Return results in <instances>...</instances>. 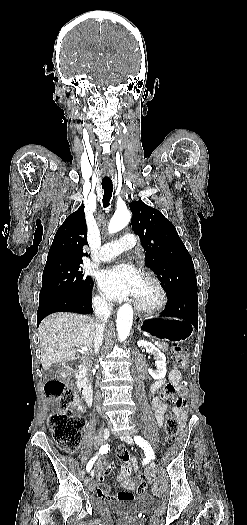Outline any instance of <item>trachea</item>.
Listing matches in <instances>:
<instances>
[{"mask_svg": "<svg viewBox=\"0 0 247 525\" xmlns=\"http://www.w3.org/2000/svg\"><path fill=\"white\" fill-rule=\"evenodd\" d=\"M102 188L104 190L102 201H103L104 208H106V207H109L110 205V200L112 198V193H113V184L112 182L102 181Z\"/></svg>", "mask_w": 247, "mask_h": 525, "instance_id": "1", "label": "trachea"}]
</instances>
